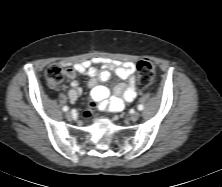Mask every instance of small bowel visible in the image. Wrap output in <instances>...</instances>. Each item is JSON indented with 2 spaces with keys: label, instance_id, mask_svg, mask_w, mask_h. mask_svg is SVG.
<instances>
[{
  "label": "small bowel",
  "instance_id": "small-bowel-1",
  "mask_svg": "<svg viewBox=\"0 0 222 187\" xmlns=\"http://www.w3.org/2000/svg\"><path fill=\"white\" fill-rule=\"evenodd\" d=\"M94 65L101 67L98 68ZM111 73H115L125 81L117 84L112 92L100 84V82L107 81ZM66 74L71 79L68 98L72 103L76 102L81 94L79 83L74 79L76 74H86L90 77L88 86L91 89V96L98 102L101 109L121 111L126 103L132 102L137 96L135 64L130 61L94 57L67 67Z\"/></svg>",
  "mask_w": 222,
  "mask_h": 187
}]
</instances>
